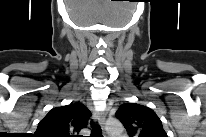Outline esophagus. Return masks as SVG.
Here are the masks:
<instances>
[{
	"label": "esophagus",
	"instance_id": "34e87169",
	"mask_svg": "<svg viewBox=\"0 0 206 137\" xmlns=\"http://www.w3.org/2000/svg\"><path fill=\"white\" fill-rule=\"evenodd\" d=\"M94 118L98 121V124L102 129L103 136L107 137L105 132V115L103 113H95Z\"/></svg>",
	"mask_w": 206,
	"mask_h": 137
}]
</instances>
